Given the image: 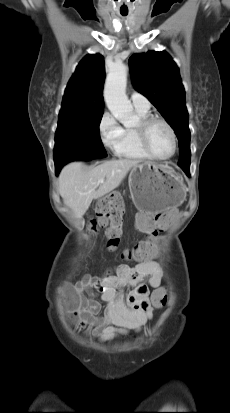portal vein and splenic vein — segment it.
Here are the masks:
<instances>
[{
	"label": "portal vein and splenic vein",
	"instance_id": "1",
	"mask_svg": "<svg viewBox=\"0 0 230 413\" xmlns=\"http://www.w3.org/2000/svg\"><path fill=\"white\" fill-rule=\"evenodd\" d=\"M103 182H104V180H103V179H101V180H99V181H98V183H103Z\"/></svg>",
	"mask_w": 230,
	"mask_h": 413
}]
</instances>
